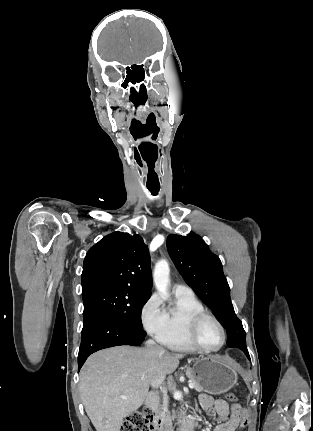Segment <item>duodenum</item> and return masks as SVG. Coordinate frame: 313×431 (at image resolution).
<instances>
[{"label":"duodenum","instance_id":"duodenum-1","mask_svg":"<svg viewBox=\"0 0 313 431\" xmlns=\"http://www.w3.org/2000/svg\"><path fill=\"white\" fill-rule=\"evenodd\" d=\"M146 407L151 409L152 411H156L158 408V396L156 393H150L146 398ZM195 418L193 416L187 417L183 424L181 431H194L195 428ZM153 425L155 428V431H171L165 417L160 414L156 413L153 421Z\"/></svg>","mask_w":313,"mask_h":431}]
</instances>
